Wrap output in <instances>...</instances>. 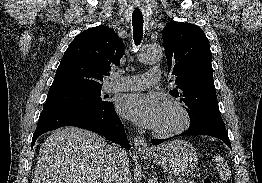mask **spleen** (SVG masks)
<instances>
[{
	"label": "spleen",
	"instance_id": "obj_1",
	"mask_svg": "<svg viewBox=\"0 0 262 183\" xmlns=\"http://www.w3.org/2000/svg\"><path fill=\"white\" fill-rule=\"evenodd\" d=\"M215 164L216 168L219 171L220 178L222 180H229L231 178V172L227 165V163L224 161V159L220 155L215 156Z\"/></svg>",
	"mask_w": 262,
	"mask_h": 183
}]
</instances>
